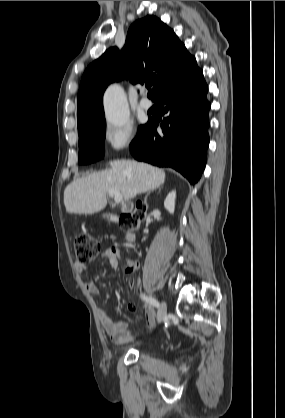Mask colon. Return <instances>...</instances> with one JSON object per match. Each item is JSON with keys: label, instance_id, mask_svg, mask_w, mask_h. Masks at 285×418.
I'll use <instances>...</instances> for the list:
<instances>
[{"label": "colon", "instance_id": "1", "mask_svg": "<svg viewBox=\"0 0 285 418\" xmlns=\"http://www.w3.org/2000/svg\"><path fill=\"white\" fill-rule=\"evenodd\" d=\"M143 209L138 208L135 214L122 216L119 226L123 230H131L139 227L143 220ZM77 260L81 263L89 262L98 252L99 245L95 237L89 233H80L73 240Z\"/></svg>", "mask_w": 285, "mask_h": 418}]
</instances>
